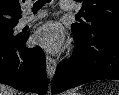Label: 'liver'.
<instances>
[{
  "instance_id": "6515ba94",
  "label": "liver",
  "mask_w": 119,
  "mask_h": 95,
  "mask_svg": "<svg viewBox=\"0 0 119 95\" xmlns=\"http://www.w3.org/2000/svg\"><path fill=\"white\" fill-rule=\"evenodd\" d=\"M0 95H21V93L10 86L0 84Z\"/></svg>"
}]
</instances>
